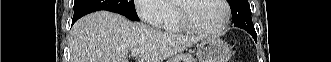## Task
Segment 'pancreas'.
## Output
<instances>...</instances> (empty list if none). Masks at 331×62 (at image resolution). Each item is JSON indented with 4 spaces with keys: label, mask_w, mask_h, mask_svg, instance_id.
<instances>
[{
    "label": "pancreas",
    "mask_w": 331,
    "mask_h": 62,
    "mask_svg": "<svg viewBox=\"0 0 331 62\" xmlns=\"http://www.w3.org/2000/svg\"><path fill=\"white\" fill-rule=\"evenodd\" d=\"M170 62H196V60L190 54H183L172 58Z\"/></svg>",
    "instance_id": "1"
}]
</instances>
